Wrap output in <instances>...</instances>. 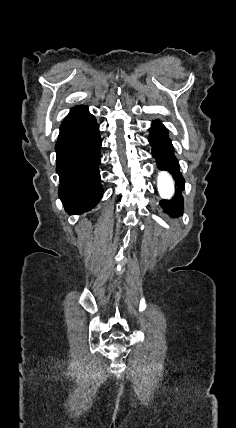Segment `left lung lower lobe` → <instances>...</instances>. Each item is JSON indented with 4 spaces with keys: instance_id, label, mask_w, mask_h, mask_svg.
I'll return each instance as SVG.
<instances>
[{
    "instance_id": "obj_1",
    "label": "left lung lower lobe",
    "mask_w": 236,
    "mask_h": 428,
    "mask_svg": "<svg viewBox=\"0 0 236 428\" xmlns=\"http://www.w3.org/2000/svg\"><path fill=\"white\" fill-rule=\"evenodd\" d=\"M149 142L152 145V155L157 160V167L160 170L168 171L176 182L177 189L175 198L172 200L160 201L166 213L172 216H179L183 210L184 178L179 171V164L174 156L173 146L168 137L167 129L156 120L150 128Z\"/></svg>"
}]
</instances>
